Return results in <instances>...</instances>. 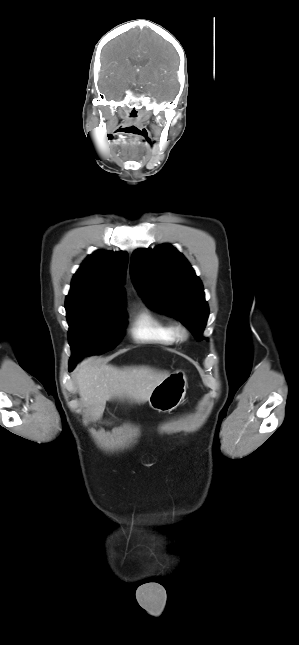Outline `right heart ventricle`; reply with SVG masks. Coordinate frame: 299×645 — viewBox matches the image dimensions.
Segmentation results:
<instances>
[{
  "label": "right heart ventricle",
  "mask_w": 299,
  "mask_h": 645,
  "mask_svg": "<svg viewBox=\"0 0 299 645\" xmlns=\"http://www.w3.org/2000/svg\"><path fill=\"white\" fill-rule=\"evenodd\" d=\"M130 335L139 343L170 345L176 341L173 325L146 305L140 306L134 314Z\"/></svg>",
  "instance_id": "right-heart-ventricle-1"
}]
</instances>
